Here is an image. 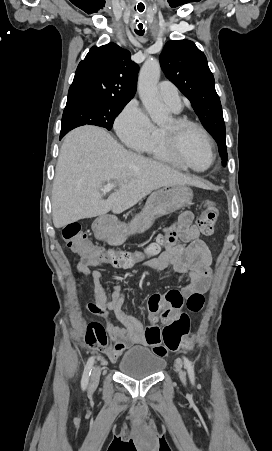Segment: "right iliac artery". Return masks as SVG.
I'll return each mask as SVG.
<instances>
[{"label": "right iliac artery", "instance_id": "obj_1", "mask_svg": "<svg viewBox=\"0 0 272 451\" xmlns=\"http://www.w3.org/2000/svg\"><path fill=\"white\" fill-rule=\"evenodd\" d=\"M93 364H94V357H90L85 368H84V372H83V376H82V380H81V386L82 389L85 390L88 382H89V377L93 368Z\"/></svg>", "mask_w": 272, "mask_h": 451}]
</instances>
